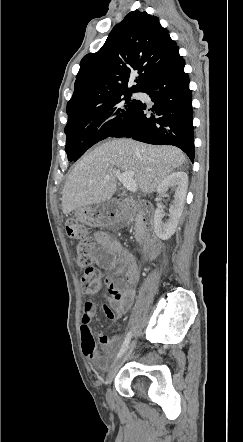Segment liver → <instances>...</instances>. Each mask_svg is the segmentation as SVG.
<instances>
[{"label": "liver", "mask_w": 243, "mask_h": 442, "mask_svg": "<svg viewBox=\"0 0 243 442\" xmlns=\"http://www.w3.org/2000/svg\"><path fill=\"white\" fill-rule=\"evenodd\" d=\"M186 162L184 153L172 146H155L132 139L105 142L74 166L62 191L65 215L83 206L109 200L117 189L114 169L134 172L143 193H151L175 169Z\"/></svg>", "instance_id": "1"}]
</instances>
